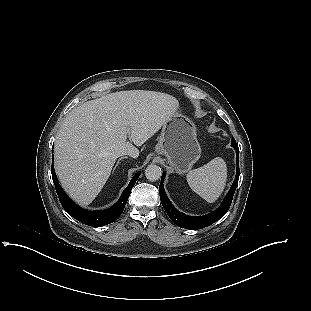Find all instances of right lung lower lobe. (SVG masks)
Wrapping results in <instances>:
<instances>
[{
    "label": "right lung lower lobe",
    "instance_id": "98d812e1",
    "mask_svg": "<svg viewBox=\"0 0 311 311\" xmlns=\"http://www.w3.org/2000/svg\"><path fill=\"white\" fill-rule=\"evenodd\" d=\"M52 178L54 181V185L59 197V200L65 209V211L78 220L79 222L89 225V226H103L107 225L109 223L114 222L119 218V216L122 214L124 207L126 205V202L129 198V195L131 193V190L133 186L135 185L140 172H137L133 178L131 179L129 185L126 187V189L123 191L120 199L110 208L101 210V211H87L78 205H76L72 200L69 199V197L66 195V193L63 191L61 186L58 183L53 162H52Z\"/></svg>",
    "mask_w": 311,
    "mask_h": 311
}]
</instances>
